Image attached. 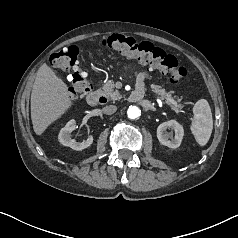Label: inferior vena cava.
<instances>
[{
  "instance_id": "inferior-vena-cava-1",
  "label": "inferior vena cava",
  "mask_w": 238,
  "mask_h": 238,
  "mask_svg": "<svg viewBox=\"0 0 238 238\" xmlns=\"http://www.w3.org/2000/svg\"><path fill=\"white\" fill-rule=\"evenodd\" d=\"M116 110H117V107L115 105H107L102 109L103 113L107 115L115 113Z\"/></svg>"
}]
</instances>
